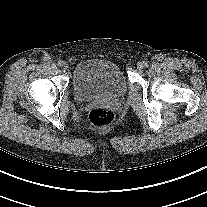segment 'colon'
<instances>
[{"instance_id":"obj_1","label":"colon","mask_w":207,"mask_h":207,"mask_svg":"<svg viewBox=\"0 0 207 207\" xmlns=\"http://www.w3.org/2000/svg\"><path fill=\"white\" fill-rule=\"evenodd\" d=\"M114 111L110 108L98 107L90 111L88 121L97 127H107L114 120Z\"/></svg>"}]
</instances>
